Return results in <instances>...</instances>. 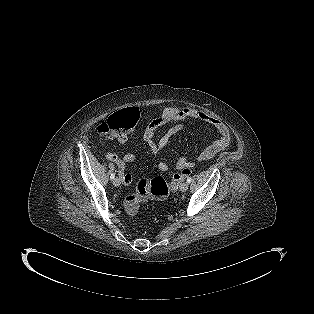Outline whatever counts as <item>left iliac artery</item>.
Listing matches in <instances>:
<instances>
[{"label": "left iliac artery", "mask_w": 314, "mask_h": 314, "mask_svg": "<svg viewBox=\"0 0 314 314\" xmlns=\"http://www.w3.org/2000/svg\"><path fill=\"white\" fill-rule=\"evenodd\" d=\"M191 182H192V178H191V177H188L187 183H191Z\"/></svg>", "instance_id": "left-iliac-artery-1"}]
</instances>
